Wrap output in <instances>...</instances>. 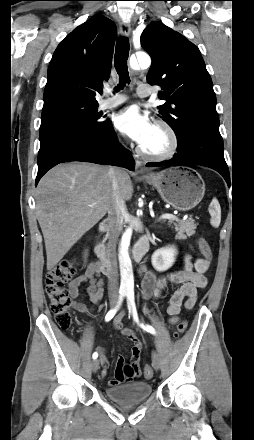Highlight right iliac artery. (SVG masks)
I'll use <instances>...</instances> for the list:
<instances>
[{
    "label": "right iliac artery",
    "instance_id": "obj_1",
    "mask_svg": "<svg viewBox=\"0 0 254 440\" xmlns=\"http://www.w3.org/2000/svg\"><path fill=\"white\" fill-rule=\"evenodd\" d=\"M124 296H125L124 293H121V294H120L119 301H118V305H117L114 309L110 310V311L106 314V316H105V320H106V321H110V320L114 317V315L116 314V312H117V310H118V307H119V305L121 304V302H122ZM97 357H98L97 352H94L93 355H92V358H93V359H96Z\"/></svg>",
    "mask_w": 254,
    "mask_h": 440
}]
</instances>
